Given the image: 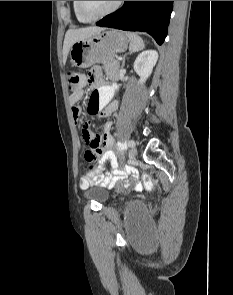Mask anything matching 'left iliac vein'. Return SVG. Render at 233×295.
Masks as SVG:
<instances>
[{"label":"left iliac vein","mask_w":233,"mask_h":295,"mask_svg":"<svg viewBox=\"0 0 233 295\" xmlns=\"http://www.w3.org/2000/svg\"><path fill=\"white\" fill-rule=\"evenodd\" d=\"M133 146L131 147L130 145H129V147H130V150H129V157L130 158H135V156L137 155V150H136V143H135V141L133 140Z\"/></svg>","instance_id":"4c4485c4"}]
</instances>
